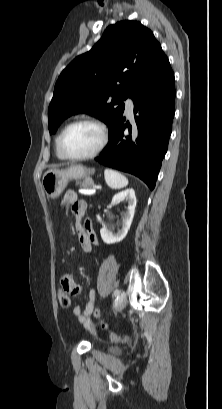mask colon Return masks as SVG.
I'll use <instances>...</instances> for the list:
<instances>
[{"label": "colon", "mask_w": 222, "mask_h": 409, "mask_svg": "<svg viewBox=\"0 0 222 409\" xmlns=\"http://www.w3.org/2000/svg\"><path fill=\"white\" fill-rule=\"evenodd\" d=\"M70 289V286L64 285L58 292V301L61 307L63 308H69L71 306V297L68 294V291ZM94 317L99 319L102 317V312L99 311L98 309L94 310ZM111 339L114 341H120L122 340L120 337L117 335L111 333Z\"/></svg>", "instance_id": "obj_1"}]
</instances>
